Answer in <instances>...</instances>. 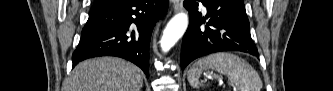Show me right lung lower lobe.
Wrapping results in <instances>:
<instances>
[{
    "mask_svg": "<svg viewBox=\"0 0 333 91\" xmlns=\"http://www.w3.org/2000/svg\"><path fill=\"white\" fill-rule=\"evenodd\" d=\"M168 0H119L94 5L75 50L73 67L98 56H117L139 66L149 76V44L156 22Z\"/></svg>",
    "mask_w": 333,
    "mask_h": 91,
    "instance_id": "right-lung-lower-lobe-1",
    "label": "right lung lower lobe"
}]
</instances>
